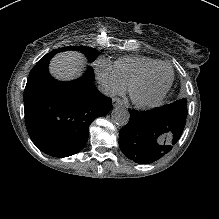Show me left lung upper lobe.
<instances>
[{
	"instance_id": "obj_1",
	"label": "left lung upper lobe",
	"mask_w": 219,
	"mask_h": 219,
	"mask_svg": "<svg viewBox=\"0 0 219 219\" xmlns=\"http://www.w3.org/2000/svg\"><path fill=\"white\" fill-rule=\"evenodd\" d=\"M162 109L172 111L183 117H187V100L185 98L165 105Z\"/></svg>"
}]
</instances>
